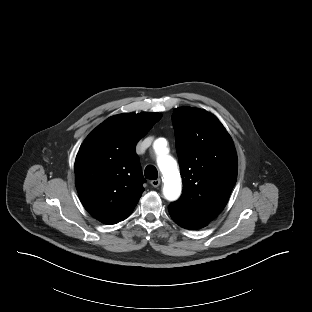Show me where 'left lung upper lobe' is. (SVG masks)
Returning a JSON list of instances; mask_svg holds the SVG:
<instances>
[{
  "label": "left lung upper lobe",
  "instance_id": "obj_1",
  "mask_svg": "<svg viewBox=\"0 0 312 312\" xmlns=\"http://www.w3.org/2000/svg\"><path fill=\"white\" fill-rule=\"evenodd\" d=\"M172 123L183 193L169 208L208 224L224 209L236 183L233 141L220 121L202 109L177 108Z\"/></svg>",
  "mask_w": 312,
  "mask_h": 312
}]
</instances>
